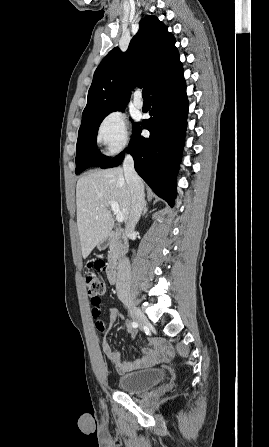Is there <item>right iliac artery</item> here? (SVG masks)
<instances>
[{
  "instance_id": "obj_1",
  "label": "right iliac artery",
  "mask_w": 269,
  "mask_h": 447,
  "mask_svg": "<svg viewBox=\"0 0 269 447\" xmlns=\"http://www.w3.org/2000/svg\"><path fill=\"white\" fill-rule=\"evenodd\" d=\"M132 326H133L134 328H136V327L138 326V324H137L136 322H133V323H132Z\"/></svg>"
}]
</instances>
